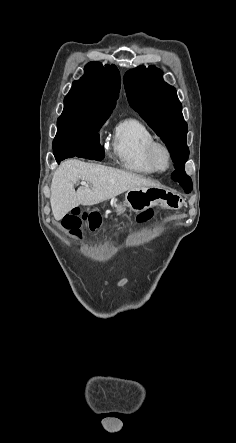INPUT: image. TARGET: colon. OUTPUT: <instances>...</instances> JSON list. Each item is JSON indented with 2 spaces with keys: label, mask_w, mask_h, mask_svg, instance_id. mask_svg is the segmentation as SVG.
<instances>
[{
  "label": "colon",
  "mask_w": 236,
  "mask_h": 443,
  "mask_svg": "<svg viewBox=\"0 0 236 443\" xmlns=\"http://www.w3.org/2000/svg\"><path fill=\"white\" fill-rule=\"evenodd\" d=\"M154 216L152 210L140 213L136 217V223L142 224L151 220ZM63 225L72 231L73 234L79 235L80 227L83 223L91 227H97L100 224V217L93 211L83 210L80 207L72 208L62 219Z\"/></svg>",
  "instance_id": "obj_1"
}]
</instances>
